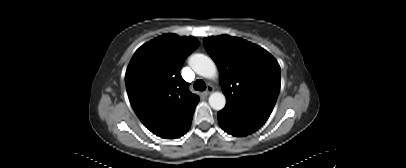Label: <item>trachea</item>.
<instances>
[{"mask_svg":"<svg viewBox=\"0 0 406 168\" xmlns=\"http://www.w3.org/2000/svg\"><path fill=\"white\" fill-rule=\"evenodd\" d=\"M195 90L204 91L206 89V84L203 80H196L194 83Z\"/></svg>","mask_w":406,"mask_h":168,"instance_id":"trachea-1","label":"trachea"}]
</instances>
